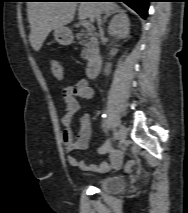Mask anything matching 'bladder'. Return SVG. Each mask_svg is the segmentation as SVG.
Returning <instances> with one entry per match:
<instances>
[{
    "label": "bladder",
    "mask_w": 188,
    "mask_h": 213,
    "mask_svg": "<svg viewBox=\"0 0 188 213\" xmlns=\"http://www.w3.org/2000/svg\"><path fill=\"white\" fill-rule=\"evenodd\" d=\"M96 182L99 190L109 194H117L125 188L124 179L117 176L101 177Z\"/></svg>",
    "instance_id": "bladder-1"
}]
</instances>
